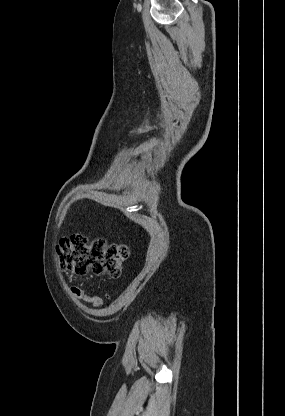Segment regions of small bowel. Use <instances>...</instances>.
I'll use <instances>...</instances> for the list:
<instances>
[{
    "label": "small bowel",
    "instance_id": "c3829d8e",
    "mask_svg": "<svg viewBox=\"0 0 285 416\" xmlns=\"http://www.w3.org/2000/svg\"><path fill=\"white\" fill-rule=\"evenodd\" d=\"M73 294L79 298L84 299L85 301L91 303L94 308H99L103 304V300L97 295H91L85 293L82 289L75 288Z\"/></svg>",
    "mask_w": 285,
    "mask_h": 416
}]
</instances>
